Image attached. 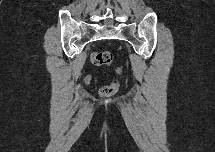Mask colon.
<instances>
[{
    "mask_svg": "<svg viewBox=\"0 0 215 152\" xmlns=\"http://www.w3.org/2000/svg\"><path fill=\"white\" fill-rule=\"evenodd\" d=\"M90 59L96 66H110L113 62V54L110 51H93ZM118 89L119 82L115 79L110 84L102 86L99 90V95L107 98L114 95Z\"/></svg>",
    "mask_w": 215,
    "mask_h": 152,
    "instance_id": "obj_1",
    "label": "colon"
}]
</instances>
